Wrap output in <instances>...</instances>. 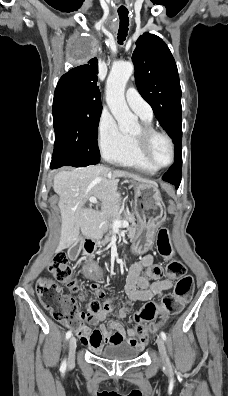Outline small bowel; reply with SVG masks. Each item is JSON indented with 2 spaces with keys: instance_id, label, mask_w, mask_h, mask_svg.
<instances>
[{
  "instance_id": "c3829d8e",
  "label": "small bowel",
  "mask_w": 228,
  "mask_h": 396,
  "mask_svg": "<svg viewBox=\"0 0 228 396\" xmlns=\"http://www.w3.org/2000/svg\"><path fill=\"white\" fill-rule=\"evenodd\" d=\"M85 270L91 276L98 274L93 265H88ZM162 277V267L154 263L153 255L147 254L131 265L125 282V293L131 301H150L160 298L173 286L170 279H161ZM89 290L99 298L104 297V291L96 282L90 284ZM110 312H112L111 306L109 303H105L104 309L98 315L87 318V320L92 324L101 322ZM126 315L127 310L122 308L116 314V318L109 320L107 324L101 323L98 328L93 330L82 326L76 333L80 337L81 343L94 352L104 344L118 342H127L141 350L145 346L147 336H137L134 327L125 329L118 319L124 318Z\"/></svg>"
}]
</instances>
